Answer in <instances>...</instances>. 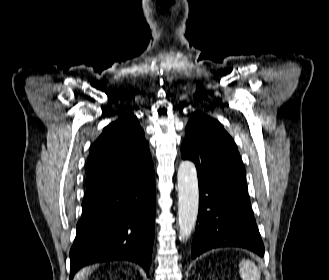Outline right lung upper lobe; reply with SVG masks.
Here are the masks:
<instances>
[{
  "label": "right lung upper lobe",
  "mask_w": 329,
  "mask_h": 280,
  "mask_svg": "<svg viewBox=\"0 0 329 280\" xmlns=\"http://www.w3.org/2000/svg\"><path fill=\"white\" fill-rule=\"evenodd\" d=\"M153 170L149 144L137 117L128 113L104 128L90 148L86 185L111 176L145 174Z\"/></svg>",
  "instance_id": "obj_1"
}]
</instances>
